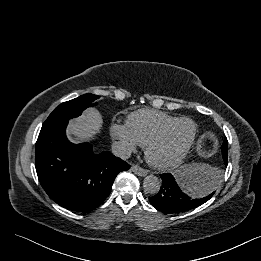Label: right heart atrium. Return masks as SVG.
I'll list each match as a JSON object with an SVG mask.
<instances>
[{"instance_id":"right-heart-atrium-1","label":"right heart atrium","mask_w":261,"mask_h":261,"mask_svg":"<svg viewBox=\"0 0 261 261\" xmlns=\"http://www.w3.org/2000/svg\"><path fill=\"white\" fill-rule=\"evenodd\" d=\"M109 133L115 143L117 151L121 155H128L134 152L139 145L131 135L126 124L112 123L109 128Z\"/></svg>"}]
</instances>
